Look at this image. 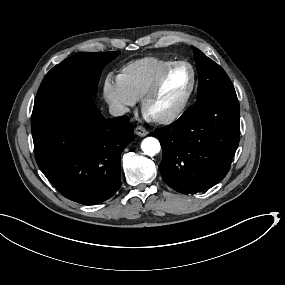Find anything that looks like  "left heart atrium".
Masks as SVG:
<instances>
[{
    "instance_id": "obj_1",
    "label": "left heart atrium",
    "mask_w": 285,
    "mask_h": 285,
    "mask_svg": "<svg viewBox=\"0 0 285 285\" xmlns=\"http://www.w3.org/2000/svg\"><path fill=\"white\" fill-rule=\"evenodd\" d=\"M142 115H143V117H144L146 120L155 119V117H154L151 113H149V112H147V111H144Z\"/></svg>"
}]
</instances>
